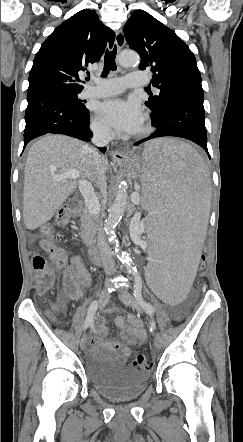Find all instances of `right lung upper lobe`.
I'll return each mask as SVG.
<instances>
[{
	"label": "right lung upper lobe",
	"mask_w": 243,
	"mask_h": 442,
	"mask_svg": "<svg viewBox=\"0 0 243 442\" xmlns=\"http://www.w3.org/2000/svg\"><path fill=\"white\" fill-rule=\"evenodd\" d=\"M114 32L95 11L83 9L59 25L44 41L33 61L28 92L42 89L82 91L80 75L98 62Z\"/></svg>",
	"instance_id": "obj_1"
}]
</instances>
